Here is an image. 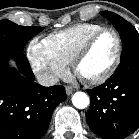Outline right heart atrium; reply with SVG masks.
I'll list each match as a JSON object with an SVG mask.
<instances>
[{
	"instance_id": "right-heart-atrium-1",
	"label": "right heart atrium",
	"mask_w": 139,
	"mask_h": 139,
	"mask_svg": "<svg viewBox=\"0 0 139 139\" xmlns=\"http://www.w3.org/2000/svg\"><path fill=\"white\" fill-rule=\"evenodd\" d=\"M27 58L34 73L44 84H54L67 74L68 63L58 57L44 40L33 39L29 43Z\"/></svg>"
}]
</instances>
